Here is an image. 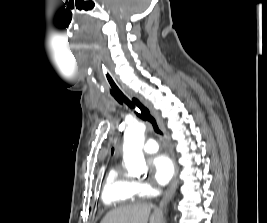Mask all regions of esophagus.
<instances>
[{
  "mask_svg": "<svg viewBox=\"0 0 267 223\" xmlns=\"http://www.w3.org/2000/svg\"><path fill=\"white\" fill-rule=\"evenodd\" d=\"M146 105H148V104L146 103ZM150 110H151L152 115L156 119L160 129L164 132L165 131L164 124H163L162 120L160 119L158 113L152 107H150ZM175 189H176V183L173 182L171 184L170 188L164 194L162 200L160 201V206H163L164 204H166L170 200V198L172 197V195L175 192Z\"/></svg>",
  "mask_w": 267,
  "mask_h": 223,
  "instance_id": "esophagus-1",
  "label": "esophagus"
}]
</instances>
